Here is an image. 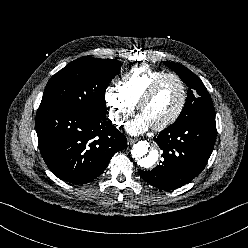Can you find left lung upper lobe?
I'll use <instances>...</instances> for the list:
<instances>
[{
	"label": "left lung upper lobe",
	"instance_id": "obj_1",
	"mask_svg": "<svg viewBox=\"0 0 248 248\" xmlns=\"http://www.w3.org/2000/svg\"><path fill=\"white\" fill-rule=\"evenodd\" d=\"M164 64L175 71L189 88L184 108L172 125H182L196 120L215 118L210 94L202 81L179 63L164 62Z\"/></svg>",
	"mask_w": 248,
	"mask_h": 248
}]
</instances>
